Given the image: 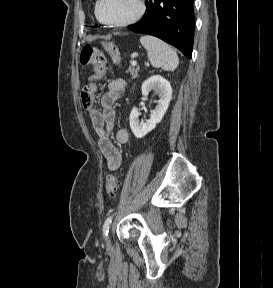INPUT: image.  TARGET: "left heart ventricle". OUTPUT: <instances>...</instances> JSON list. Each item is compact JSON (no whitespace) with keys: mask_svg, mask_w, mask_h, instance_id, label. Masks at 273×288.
Instances as JSON below:
<instances>
[{"mask_svg":"<svg viewBox=\"0 0 273 288\" xmlns=\"http://www.w3.org/2000/svg\"><path fill=\"white\" fill-rule=\"evenodd\" d=\"M137 8V0H103L100 15L107 22H116L131 17Z\"/></svg>","mask_w":273,"mask_h":288,"instance_id":"b2bd125f","label":"left heart ventricle"}]
</instances>
